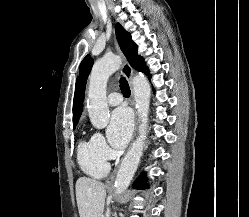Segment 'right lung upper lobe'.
Returning a JSON list of instances; mask_svg holds the SVG:
<instances>
[{
  "mask_svg": "<svg viewBox=\"0 0 249 217\" xmlns=\"http://www.w3.org/2000/svg\"><path fill=\"white\" fill-rule=\"evenodd\" d=\"M83 87L79 78H77L75 85V94L73 102V125H77V122L81 116L83 108Z\"/></svg>",
  "mask_w": 249,
  "mask_h": 217,
  "instance_id": "obj_1",
  "label": "right lung upper lobe"
}]
</instances>
